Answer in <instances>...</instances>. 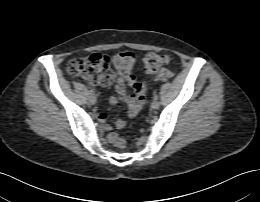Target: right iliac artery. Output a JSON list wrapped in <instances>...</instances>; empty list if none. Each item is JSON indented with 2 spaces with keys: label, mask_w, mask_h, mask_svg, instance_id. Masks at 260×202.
Returning a JSON list of instances; mask_svg holds the SVG:
<instances>
[{
  "label": "right iliac artery",
  "mask_w": 260,
  "mask_h": 202,
  "mask_svg": "<svg viewBox=\"0 0 260 202\" xmlns=\"http://www.w3.org/2000/svg\"><path fill=\"white\" fill-rule=\"evenodd\" d=\"M89 94L90 95H94V91L93 90H89Z\"/></svg>",
  "instance_id": "82829eb1"
}]
</instances>
